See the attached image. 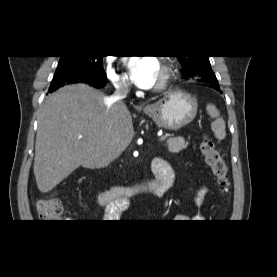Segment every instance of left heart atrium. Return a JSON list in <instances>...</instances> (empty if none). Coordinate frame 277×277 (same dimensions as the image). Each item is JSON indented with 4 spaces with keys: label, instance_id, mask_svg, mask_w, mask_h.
<instances>
[{
    "label": "left heart atrium",
    "instance_id": "1",
    "mask_svg": "<svg viewBox=\"0 0 277 277\" xmlns=\"http://www.w3.org/2000/svg\"><path fill=\"white\" fill-rule=\"evenodd\" d=\"M134 83L141 88H151L157 80L160 69L158 61L153 57H137L128 62Z\"/></svg>",
    "mask_w": 277,
    "mask_h": 277
}]
</instances>
